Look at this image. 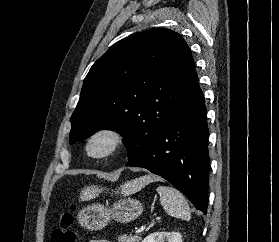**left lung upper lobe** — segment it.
Instances as JSON below:
<instances>
[{
    "label": "left lung upper lobe",
    "instance_id": "left-lung-upper-lobe-1",
    "mask_svg": "<svg viewBox=\"0 0 279 242\" xmlns=\"http://www.w3.org/2000/svg\"><path fill=\"white\" fill-rule=\"evenodd\" d=\"M194 67L185 40L170 29L154 28L118 41L84 79L69 142L112 129L124 137L128 160L136 158L183 100Z\"/></svg>",
    "mask_w": 279,
    "mask_h": 242
}]
</instances>
